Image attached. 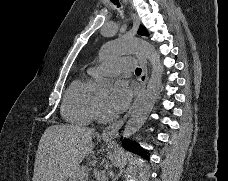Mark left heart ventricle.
I'll list each match as a JSON object with an SVG mask.
<instances>
[{"label": "left heart ventricle", "mask_w": 228, "mask_h": 181, "mask_svg": "<svg viewBox=\"0 0 228 181\" xmlns=\"http://www.w3.org/2000/svg\"><path fill=\"white\" fill-rule=\"evenodd\" d=\"M116 76V74L115 73H112V74H110L109 76H107V77H99L98 79H102V78H107V79H109V81H110V88H109V90L107 91V93L112 89V87L114 86V84H115V82H114V77ZM117 82V81H116ZM106 93V94H107ZM105 94V95H106ZM104 95V96H105ZM103 96V97H104Z\"/></svg>", "instance_id": "left-heart-ventricle-1"}]
</instances>
